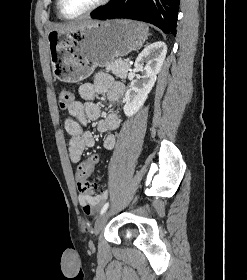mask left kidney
I'll use <instances>...</instances> for the list:
<instances>
[{"instance_id": "5707ae66", "label": "left kidney", "mask_w": 247, "mask_h": 280, "mask_svg": "<svg viewBox=\"0 0 247 280\" xmlns=\"http://www.w3.org/2000/svg\"><path fill=\"white\" fill-rule=\"evenodd\" d=\"M166 54V44L158 41L145 47L138 55L134 67L142 73V76L137 75L125 94L123 109L127 117L135 115L145 103L156 82V75L162 68Z\"/></svg>"}]
</instances>
